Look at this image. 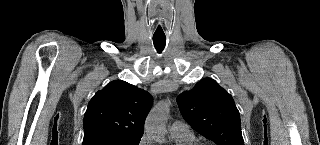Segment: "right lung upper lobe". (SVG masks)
<instances>
[{"label":"right lung upper lobe","instance_id":"cb5924a9","mask_svg":"<svg viewBox=\"0 0 320 145\" xmlns=\"http://www.w3.org/2000/svg\"><path fill=\"white\" fill-rule=\"evenodd\" d=\"M152 103L147 91L122 80L110 82L88 104L83 142L102 137H142Z\"/></svg>","mask_w":320,"mask_h":145}]
</instances>
